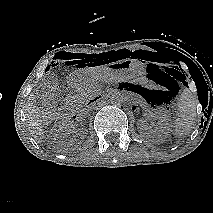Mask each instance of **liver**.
Masks as SVG:
<instances>
[{
  "mask_svg": "<svg viewBox=\"0 0 213 213\" xmlns=\"http://www.w3.org/2000/svg\"><path fill=\"white\" fill-rule=\"evenodd\" d=\"M34 99L35 97L32 94L28 97V102L25 106L26 123L30 134L37 142H41L44 133L42 130V115L39 108L35 106Z\"/></svg>",
  "mask_w": 213,
  "mask_h": 213,
  "instance_id": "obj_1",
  "label": "liver"
}]
</instances>
